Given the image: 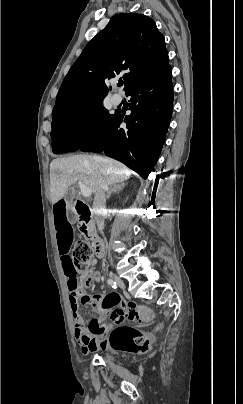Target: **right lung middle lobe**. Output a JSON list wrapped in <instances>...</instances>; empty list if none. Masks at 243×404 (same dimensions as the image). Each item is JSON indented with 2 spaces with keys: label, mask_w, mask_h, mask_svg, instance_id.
Instances as JSON below:
<instances>
[{
  "label": "right lung middle lobe",
  "mask_w": 243,
  "mask_h": 404,
  "mask_svg": "<svg viewBox=\"0 0 243 404\" xmlns=\"http://www.w3.org/2000/svg\"><path fill=\"white\" fill-rule=\"evenodd\" d=\"M103 98L52 116V150L55 154L80 149L113 120L118 110L115 114H109L102 107Z\"/></svg>",
  "instance_id": "right-lung-middle-lobe-1"
}]
</instances>
